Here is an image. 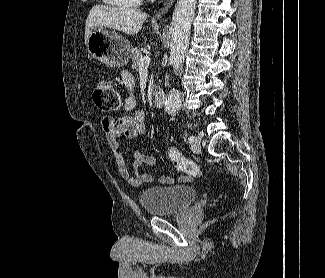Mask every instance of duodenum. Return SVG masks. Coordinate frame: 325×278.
I'll use <instances>...</instances> for the list:
<instances>
[{
  "instance_id": "duodenum-1",
  "label": "duodenum",
  "mask_w": 325,
  "mask_h": 278,
  "mask_svg": "<svg viewBox=\"0 0 325 278\" xmlns=\"http://www.w3.org/2000/svg\"><path fill=\"white\" fill-rule=\"evenodd\" d=\"M153 101L157 108H163L165 105V94L161 89H157L153 94Z\"/></svg>"
}]
</instances>
